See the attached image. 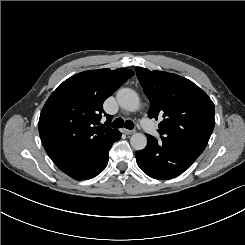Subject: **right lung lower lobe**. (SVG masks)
I'll return each instance as SVG.
<instances>
[{
	"mask_svg": "<svg viewBox=\"0 0 245 245\" xmlns=\"http://www.w3.org/2000/svg\"><path fill=\"white\" fill-rule=\"evenodd\" d=\"M121 133L117 130L98 144L83 147L73 152L57 167L75 180H86L100 174L108 163V152L118 141Z\"/></svg>",
	"mask_w": 245,
	"mask_h": 245,
	"instance_id": "98d812e1",
	"label": "right lung lower lobe"
}]
</instances>
